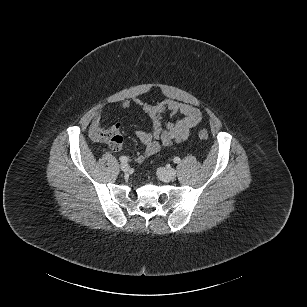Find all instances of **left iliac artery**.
Here are the masks:
<instances>
[{
	"label": "left iliac artery",
	"instance_id": "obj_1",
	"mask_svg": "<svg viewBox=\"0 0 307 307\" xmlns=\"http://www.w3.org/2000/svg\"><path fill=\"white\" fill-rule=\"evenodd\" d=\"M173 161H174V163H180V158L179 157H175L174 159H173Z\"/></svg>",
	"mask_w": 307,
	"mask_h": 307
}]
</instances>
